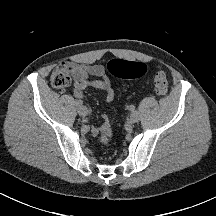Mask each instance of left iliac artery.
<instances>
[{
    "label": "left iliac artery",
    "instance_id": "obj_1",
    "mask_svg": "<svg viewBox=\"0 0 216 216\" xmlns=\"http://www.w3.org/2000/svg\"><path fill=\"white\" fill-rule=\"evenodd\" d=\"M129 110H130V111H134V110H135V106H134V105H130V106H129Z\"/></svg>",
    "mask_w": 216,
    "mask_h": 216
}]
</instances>
